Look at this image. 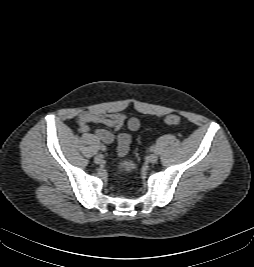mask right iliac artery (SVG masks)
Here are the masks:
<instances>
[{
  "label": "right iliac artery",
  "instance_id": "82829eb1",
  "mask_svg": "<svg viewBox=\"0 0 254 267\" xmlns=\"http://www.w3.org/2000/svg\"><path fill=\"white\" fill-rule=\"evenodd\" d=\"M99 149H100L101 151H106L107 148H106V146L101 145Z\"/></svg>",
  "mask_w": 254,
  "mask_h": 267
}]
</instances>
